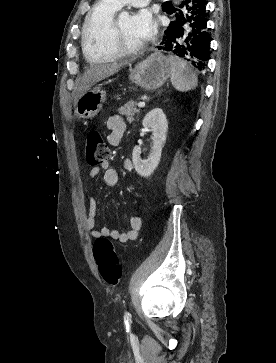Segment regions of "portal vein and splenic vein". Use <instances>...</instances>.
<instances>
[{"instance_id":"portal-vein-and-splenic-vein-1","label":"portal vein and splenic vein","mask_w":276,"mask_h":363,"mask_svg":"<svg viewBox=\"0 0 276 363\" xmlns=\"http://www.w3.org/2000/svg\"><path fill=\"white\" fill-rule=\"evenodd\" d=\"M144 106H145V102H139V103H138V107L142 108V107H144Z\"/></svg>"}]
</instances>
